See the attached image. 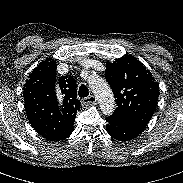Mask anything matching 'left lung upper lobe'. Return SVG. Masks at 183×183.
<instances>
[{"mask_svg": "<svg viewBox=\"0 0 183 183\" xmlns=\"http://www.w3.org/2000/svg\"><path fill=\"white\" fill-rule=\"evenodd\" d=\"M105 77L115 96L113 117L146 126L157 105L158 83L146 67L132 56L107 63Z\"/></svg>", "mask_w": 183, "mask_h": 183, "instance_id": "5c2ea615", "label": "left lung upper lobe"}]
</instances>
